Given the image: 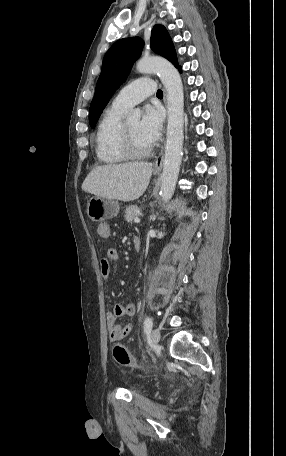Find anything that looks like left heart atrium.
<instances>
[{"label":"left heart atrium","instance_id":"left-heart-atrium-1","mask_svg":"<svg viewBox=\"0 0 286 456\" xmlns=\"http://www.w3.org/2000/svg\"><path fill=\"white\" fill-rule=\"evenodd\" d=\"M163 126V114L158 107L147 105L144 108L143 117L140 122L141 134L154 144L161 135Z\"/></svg>","mask_w":286,"mask_h":456}]
</instances>
